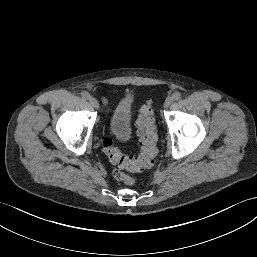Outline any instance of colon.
<instances>
[{
    "label": "colon",
    "instance_id": "colon-1",
    "mask_svg": "<svg viewBox=\"0 0 257 257\" xmlns=\"http://www.w3.org/2000/svg\"><path fill=\"white\" fill-rule=\"evenodd\" d=\"M138 136L141 144V152L138 156L127 155L114 144L110 137L103 140L104 152L115 166L113 176L115 179L132 185L134 180L126 172H141L149 168L157 154V131L153 112L149 103L143 105L137 120Z\"/></svg>",
    "mask_w": 257,
    "mask_h": 257
}]
</instances>
